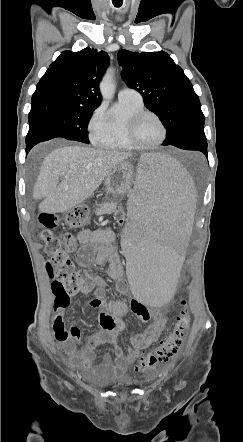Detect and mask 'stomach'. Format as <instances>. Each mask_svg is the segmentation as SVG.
<instances>
[{
    "label": "stomach",
    "instance_id": "1",
    "mask_svg": "<svg viewBox=\"0 0 243 442\" xmlns=\"http://www.w3.org/2000/svg\"><path fill=\"white\" fill-rule=\"evenodd\" d=\"M134 169L129 162L118 164L106 177L105 187L107 193L125 195L129 193L133 183ZM90 215L83 205H78L64 214L65 223L72 227H81L88 222Z\"/></svg>",
    "mask_w": 243,
    "mask_h": 442
}]
</instances>
